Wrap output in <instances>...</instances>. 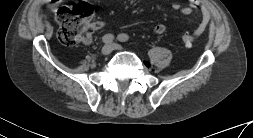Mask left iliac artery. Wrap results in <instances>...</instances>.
Returning a JSON list of instances; mask_svg holds the SVG:
<instances>
[{
    "instance_id": "obj_1",
    "label": "left iliac artery",
    "mask_w": 253,
    "mask_h": 138,
    "mask_svg": "<svg viewBox=\"0 0 253 138\" xmlns=\"http://www.w3.org/2000/svg\"><path fill=\"white\" fill-rule=\"evenodd\" d=\"M128 39H129V37L126 34L118 35V40L121 41V42H126V41H128Z\"/></svg>"
}]
</instances>
